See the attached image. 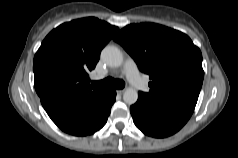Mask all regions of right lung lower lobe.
I'll return each instance as SVG.
<instances>
[{
    "mask_svg": "<svg viewBox=\"0 0 238 158\" xmlns=\"http://www.w3.org/2000/svg\"><path fill=\"white\" fill-rule=\"evenodd\" d=\"M40 98L47 114L61 130L84 136L105 125L116 92L105 89L89 94H46Z\"/></svg>",
    "mask_w": 238,
    "mask_h": 158,
    "instance_id": "right-lung-lower-lobe-1",
    "label": "right lung lower lobe"
}]
</instances>
